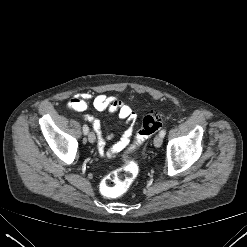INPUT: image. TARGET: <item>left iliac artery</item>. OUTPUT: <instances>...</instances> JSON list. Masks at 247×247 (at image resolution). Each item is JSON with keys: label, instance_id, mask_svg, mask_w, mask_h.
Returning <instances> with one entry per match:
<instances>
[{"label": "left iliac artery", "instance_id": "44dca946", "mask_svg": "<svg viewBox=\"0 0 247 247\" xmlns=\"http://www.w3.org/2000/svg\"><path fill=\"white\" fill-rule=\"evenodd\" d=\"M159 135L161 137H164L166 135V129L161 130L160 133H159Z\"/></svg>", "mask_w": 247, "mask_h": 247}]
</instances>
